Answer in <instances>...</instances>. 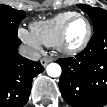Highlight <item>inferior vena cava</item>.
Masks as SVG:
<instances>
[{
  "label": "inferior vena cava",
  "mask_w": 107,
  "mask_h": 107,
  "mask_svg": "<svg viewBox=\"0 0 107 107\" xmlns=\"http://www.w3.org/2000/svg\"><path fill=\"white\" fill-rule=\"evenodd\" d=\"M19 54L33 61H38L41 58V55L39 52L25 45L20 46Z\"/></svg>",
  "instance_id": "602c4592"
}]
</instances>
